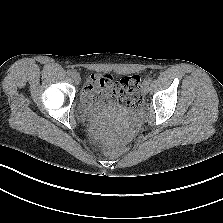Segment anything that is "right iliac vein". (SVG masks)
Wrapping results in <instances>:
<instances>
[{
    "label": "right iliac vein",
    "mask_w": 223,
    "mask_h": 223,
    "mask_svg": "<svg viewBox=\"0 0 223 223\" xmlns=\"http://www.w3.org/2000/svg\"><path fill=\"white\" fill-rule=\"evenodd\" d=\"M73 80L75 81L76 84H79L81 81L80 75L78 73H73L72 75Z\"/></svg>",
    "instance_id": "1"
}]
</instances>
